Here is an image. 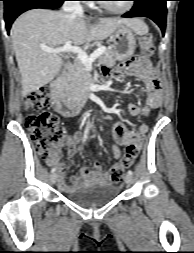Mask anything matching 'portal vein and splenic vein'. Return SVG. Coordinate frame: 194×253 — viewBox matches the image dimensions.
<instances>
[{
    "instance_id": "portal-vein-and-splenic-vein-1",
    "label": "portal vein and splenic vein",
    "mask_w": 194,
    "mask_h": 253,
    "mask_svg": "<svg viewBox=\"0 0 194 253\" xmlns=\"http://www.w3.org/2000/svg\"><path fill=\"white\" fill-rule=\"evenodd\" d=\"M41 49L46 53L59 54L62 52H72L77 54L78 59L86 66L91 67L95 59L105 52V47H99L90 56L86 54L80 47L73 46L71 41L66 42L63 46L58 48H50L42 46Z\"/></svg>"
}]
</instances>
